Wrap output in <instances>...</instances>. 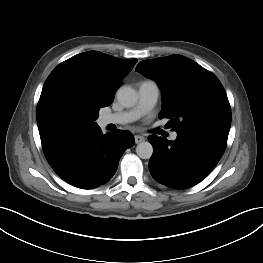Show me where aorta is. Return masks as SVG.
<instances>
[{
    "label": "aorta",
    "mask_w": 263,
    "mask_h": 263,
    "mask_svg": "<svg viewBox=\"0 0 263 263\" xmlns=\"http://www.w3.org/2000/svg\"><path fill=\"white\" fill-rule=\"evenodd\" d=\"M118 102L126 108L133 107L138 101V95L133 88L124 86L117 91ZM137 155L142 159H150L153 147L149 142H141L136 147Z\"/></svg>",
    "instance_id": "1"
}]
</instances>
